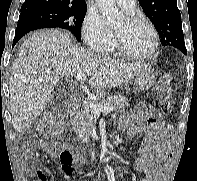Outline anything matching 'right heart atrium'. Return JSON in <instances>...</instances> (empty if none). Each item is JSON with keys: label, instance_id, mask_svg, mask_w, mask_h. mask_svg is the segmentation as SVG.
<instances>
[{"label": "right heart atrium", "instance_id": "obj_1", "mask_svg": "<svg viewBox=\"0 0 197 181\" xmlns=\"http://www.w3.org/2000/svg\"><path fill=\"white\" fill-rule=\"evenodd\" d=\"M82 37L88 48L94 52H105L113 43V33L105 26L95 10H89L82 23Z\"/></svg>", "mask_w": 197, "mask_h": 181}]
</instances>
